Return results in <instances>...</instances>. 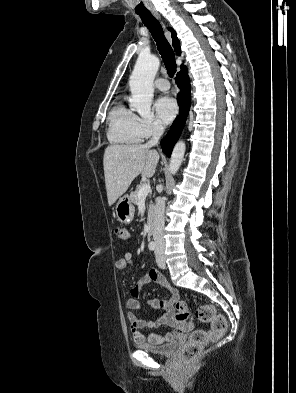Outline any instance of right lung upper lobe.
Listing matches in <instances>:
<instances>
[{
    "instance_id": "1",
    "label": "right lung upper lobe",
    "mask_w": 296,
    "mask_h": 393,
    "mask_svg": "<svg viewBox=\"0 0 296 393\" xmlns=\"http://www.w3.org/2000/svg\"><path fill=\"white\" fill-rule=\"evenodd\" d=\"M169 30L171 31V36H172V39H173V47L175 48V51H176L177 55H180V53H181V51H180V42H179V40L177 38L176 32L172 28H169ZM181 66H183V65H181Z\"/></svg>"
}]
</instances>
